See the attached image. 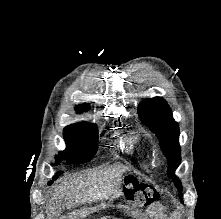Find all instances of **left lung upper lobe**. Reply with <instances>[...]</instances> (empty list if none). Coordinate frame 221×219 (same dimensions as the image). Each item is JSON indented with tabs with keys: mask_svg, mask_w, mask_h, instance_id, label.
Returning a JSON list of instances; mask_svg holds the SVG:
<instances>
[{
	"mask_svg": "<svg viewBox=\"0 0 221 219\" xmlns=\"http://www.w3.org/2000/svg\"><path fill=\"white\" fill-rule=\"evenodd\" d=\"M138 115L142 122L155 133L162 152L168 159L167 174L173 179L178 190L182 191L180 180L174 171L180 165L179 127L172 117L167 102L160 97L143 100L138 106Z\"/></svg>",
	"mask_w": 221,
	"mask_h": 219,
	"instance_id": "left-lung-upper-lobe-1",
	"label": "left lung upper lobe"
}]
</instances>
